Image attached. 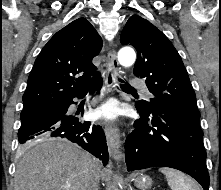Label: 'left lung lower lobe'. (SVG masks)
Listing matches in <instances>:
<instances>
[{"label": "left lung lower lobe", "mask_w": 221, "mask_h": 190, "mask_svg": "<svg viewBox=\"0 0 221 190\" xmlns=\"http://www.w3.org/2000/svg\"><path fill=\"white\" fill-rule=\"evenodd\" d=\"M140 119L125 141L128 171L170 167L196 179L209 189V174L200 124L175 113L148 112L138 103Z\"/></svg>", "instance_id": "1"}]
</instances>
